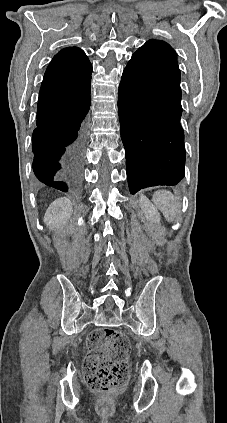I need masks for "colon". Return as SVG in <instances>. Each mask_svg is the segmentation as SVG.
Returning <instances> with one entry per match:
<instances>
[{
    "label": "colon",
    "instance_id": "colon-1",
    "mask_svg": "<svg viewBox=\"0 0 227 423\" xmlns=\"http://www.w3.org/2000/svg\"><path fill=\"white\" fill-rule=\"evenodd\" d=\"M88 353L84 364L86 385L101 393L121 390L128 380L130 342L121 332L103 327L87 339Z\"/></svg>",
    "mask_w": 227,
    "mask_h": 423
}]
</instances>
